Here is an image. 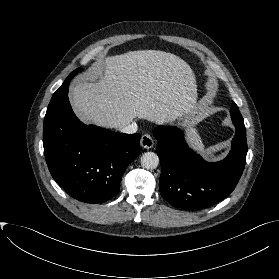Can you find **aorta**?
I'll return each instance as SVG.
<instances>
[{"label": "aorta", "instance_id": "aorta-1", "mask_svg": "<svg viewBox=\"0 0 279 279\" xmlns=\"http://www.w3.org/2000/svg\"><path fill=\"white\" fill-rule=\"evenodd\" d=\"M140 163L143 168L152 170L157 168L159 164V158L154 152H146L141 156Z\"/></svg>", "mask_w": 279, "mask_h": 279}]
</instances>
